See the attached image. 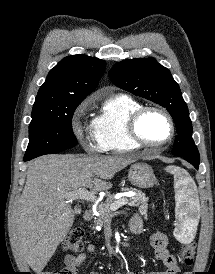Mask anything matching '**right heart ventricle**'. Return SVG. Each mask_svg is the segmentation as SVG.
Instances as JSON below:
<instances>
[{"instance_id":"obj_1","label":"right heart ventricle","mask_w":215,"mask_h":274,"mask_svg":"<svg viewBox=\"0 0 215 274\" xmlns=\"http://www.w3.org/2000/svg\"><path fill=\"white\" fill-rule=\"evenodd\" d=\"M142 105L127 95H115L106 99L94 117L91 128L104 151L126 152L139 148L127 131L129 116Z\"/></svg>"}]
</instances>
